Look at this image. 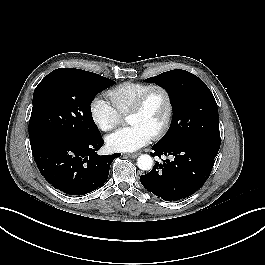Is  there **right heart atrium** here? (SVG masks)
<instances>
[{"label":"right heart atrium","instance_id":"obj_1","mask_svg":"<svg viewBox=\"0 0 265 265\" xmlns=\"http://www.w3.org/2000/svg\"><path fill=\"white\" fill-rule=\"evenodd\" d=\"M89 112L93 123L102 131H110L121 122V114L102 97H95L90 103Z\"/></svg>","mask_w":265,"mask_h":265}]
</instances>
